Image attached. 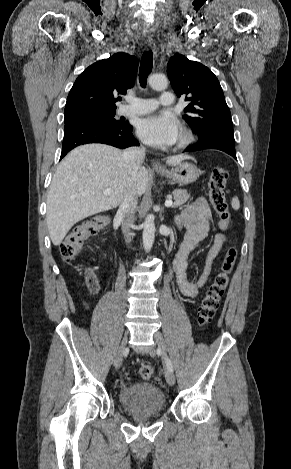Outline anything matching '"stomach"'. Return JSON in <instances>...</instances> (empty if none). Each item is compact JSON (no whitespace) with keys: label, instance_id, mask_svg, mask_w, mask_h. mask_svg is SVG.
I'll return each mask as SVG.
<instances>
[{"label":"stomach","instance_id":"obj_1","mask_svg":"<svg viewBox=\"0 0 291 469\" xmlns=\"http://www.w3.org/2000/svg\"><path fill=\"white\" fill-rule=\"evenodd\" d=\"M157 172L170 179L172 182L182 185L195 182L200 174L199 169L190 162L175 165L171 170L162 168L157 170Z\"/></svg>","mask_w":291,"mask_h":469}]
</instances>
